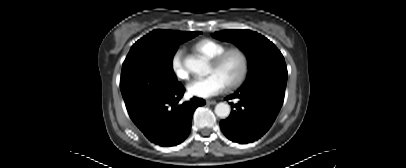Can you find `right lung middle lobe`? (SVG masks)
Segmentation results:
<instances>
[{"label":"right lung middle lobe","mask_w":406,"mask_h":168,"mask_svg":"<svg viewBox=\"0 0 406 168\" xmlns=\"http://www.w3.org/2000/svg\"><path fill=\"white\" fill-rule=\"evenodd\" d=\"M200 33L196 32L194 36ZM179 43L141 38L131 47L122 65L120 80L129 115L181 84L172 69V59Z\"/></svg>","instance_id":"right-lung-middle-lobe-1"}]
</instances>
